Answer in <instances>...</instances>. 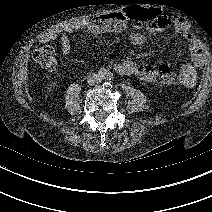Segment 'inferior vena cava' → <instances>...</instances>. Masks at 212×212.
Returning <instances> with one entry per match:
<instances>
[{
    "label": "inferior vena cava",
    "instance_id": "inferior-vena-cava-1",
    "mask_svg": "<svg viewBox=\"0 0 212 212\" xmlns=\"http://www.w3.org/2000/svg\"><path fill=\"white\" fill-rule=\"evenodd\" d=\"M102 78L98 75V74H95V73H92L89 75V78H88V83L89 85H97L101 82Z\"/></svg>",
    "mask_w": 212,
    "mask_h": 212
}]
</instances>
